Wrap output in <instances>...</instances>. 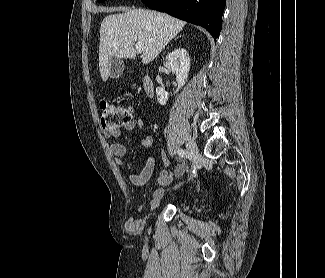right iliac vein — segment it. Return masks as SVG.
I'll return each instance as SVG.
<instances>
[{
  "instance_id": "obj_1",
  "label": "right iliac vein",
  "mask_w": 325,
  "mask_h": 278,
  "mask_svg": "<svg viewBox=\"0 0 325 278\" xmlns=\"http://www.w3.org/2000/svg\"><path fill=\"white\" fill-rule=\"evenodd\" d=\"M186 148L192 158L193 168L195 169L196 165L198 164L199 158H200V152H199V149L197 147L195 140L192 138H189L186 141Z\"/></svg>"
}]
</instances>
